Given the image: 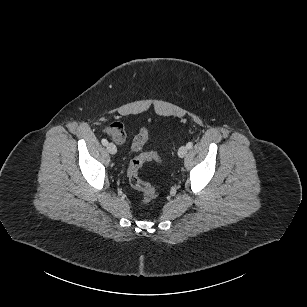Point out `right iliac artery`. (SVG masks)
<instances>
[{"instance_id":"obj_1","label":"right iliac artery","mask_w":307,"mask_h":307,"mask_svg":"<svg viewBox=\"0 0 307 307\" xmlns=\"http://www.w3.org/2000/svg\"><path fill=\"white\" fill-rule=\"evenodd\" d=\"M101 143H102L104 146H107L108 141H107L106 139H102V140H101Z\"/></svg>"}]
</instances>
